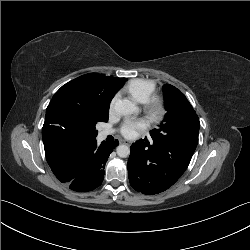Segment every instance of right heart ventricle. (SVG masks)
I'll use <instances>...</instances> for the list:
<instances>
[{"label":"right heart ventricle","instance_id":"1","mask_svg":"<svg viewBox=\"0 0 250 250\" xmlns=\"http://www.w3.org/2000/svg\"><path fill=\"white\" fill-rule=\"evenodd\" d=\"M125 90L135 101L145 103L154 94L156 84L152 80L134 79L127 84Z\"/></svg>","mask_w":250,"mask_h":250}]
</instances>
